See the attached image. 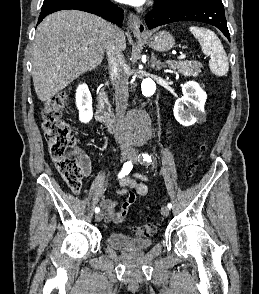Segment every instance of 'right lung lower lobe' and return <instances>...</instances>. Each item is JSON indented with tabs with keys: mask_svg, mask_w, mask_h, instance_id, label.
Returning a JSON list of instances; mask_svg holds the SVG:
<instances>
[{
	"mask_svg": "<svg viewBox=\"0 0 259 294\" xmlns=\"http://www.w3.org/2000/svg\"><path fill=\"white\" fill-rule=\"evenodd\" d=\"M65 9H76L96 14L117 25L122 23L123 10L109 0H55L42 7L38 23L47 15Z\"/></svg>",
	"mask_w": 259,
	"mask_h": 294,
	"instance_id": "98d812e1",
	"label": "right lung lower lobe"
}]
</instances>
